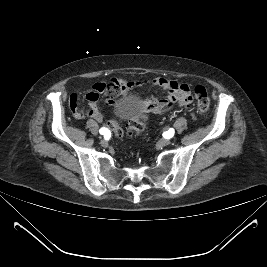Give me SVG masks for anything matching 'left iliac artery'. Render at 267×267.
I'll use <instances>...</instances> for the list:
<instances>
[{"label":"left iliac artery","instance_id":"1","mask_svg":"<svg viewBox=\"0 0 267 267\" xmlns=\"http://www.w3.org/2000/svg\"><path fill=\"white\" fill-rule=\"evenodd\" d=\"M167 133H168L169 137H172L174 135V129L170 128Z\"/></svg>","mask_w":267,"mask_h":267}]
</instances>
